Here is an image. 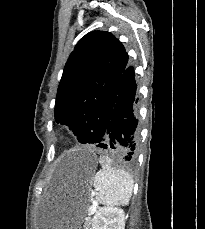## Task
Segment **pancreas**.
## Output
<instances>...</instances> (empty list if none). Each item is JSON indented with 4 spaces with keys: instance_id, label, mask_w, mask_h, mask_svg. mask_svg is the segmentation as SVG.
Returning <instances> with one entry per match:
<instances>
[{
    "instance_id": "1",
    "label": "pancreas",
    "mask_w": 205,
    "mask_h": 229,
    "mask_svg": "<svg viewBox=\"0 0 205 229\" xmlns=\"http://www.w3.org/2000/svg\"><path fill=\"white\" fill-rule=\"evenodd\" d=\"M86 227H89V224L88 223H86Z\"/></svg>"
}]
</instances>
